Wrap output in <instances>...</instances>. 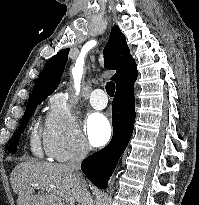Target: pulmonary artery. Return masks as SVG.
Returning <instances> with one entry per match:
<instances>
[{
    "label": "pulmonary artery",
    "mask_w": 199,
    "mask_h": 205,
    "mask_svg": "<svg viewBox=\"0 0 199 205\" xmlns=\"http://www.w3.org/2000/svg\"><path fill=\"white\" fill-rule=\"evenodd\" d=\"M90 103L94 109H104L108 103L104 91L102 89H95L90 96Z\"/></svg>",
    "instance_id": "pulmonary-artery-1"
}]
</instances>
